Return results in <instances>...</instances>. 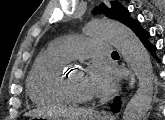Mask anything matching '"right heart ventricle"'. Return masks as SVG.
<instances>
[{
  "mask_svg": "<svg viewBox=\"0 0 165 120\" xmlns=\"http://www.w3.org/2000/svg\"><path fill=\"white\" fill-rule=\"evenodd\" d=\"M69 61L55 46L48 47L39 55L27 80L28 93L33 102L60 105L70 101L61 87Z\"/></svg>",
  "mask_w": 165,
  "mask_h": 120,
  "instance_id": "1",
  "label": "right heart ventricle"
}]
</instances>
